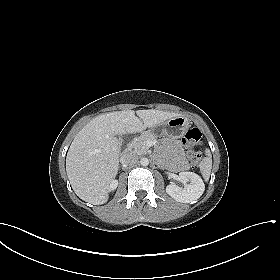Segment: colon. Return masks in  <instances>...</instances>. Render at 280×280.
I'll return each mask as SVG.
<instances>
[{
    "instance_id": "1",
    "label": "colon",
    "mask_w": 280,
    "mask_h": 280,
    "mask_svg": "<svg viewBox=\"0 0 280 280\" xmlns=\"http://www.w3.org/2000/svg\"><path fill=\"white\" fill-rule=\"evenodd\" d=\"M202 134L197 128H189L184 137V143L188 147L187 157L189 162L196 168L201 164V153L193 149L194 146L200 145Z\"/></svg>"
}]
</instances>
